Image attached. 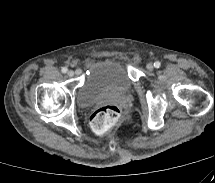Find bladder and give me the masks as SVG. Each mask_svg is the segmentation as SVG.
Segmentation results:
<instances>
[{
	"label": "bladder",
	"mask_w": 215,
	"mask_h": 183,
	"mask_svg": "<svg viewBox=\"0 0 215 183\" xmlns=\"http://www.w3.org/2000/svg\"><path fill=\"white\" fill-rule=\"evenodd\" d=\"M132 88L133 81L123 62L113 58L92 60L84 67L76 95L77 104L86 108L108 94H126Z\"/></svg>",
	"instance_id": "1"
}]
</instances>
